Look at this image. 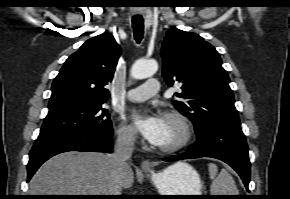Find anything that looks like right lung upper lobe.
Returning <instances> with one entry per match:
<instances>
[{
  "label": "right lung upper lobe",
  "instance_id": "cb5924a9",
  "mask_svg": "<svg viewBox=\"0 0 290 199\" xmlns=\"http://www.w3.org/2000/svg\"><path fill=\"white\" fill-rule=\"evenodd\" d=\"M120 47L111 34L87 40L64 63L52 84L49 112L70 106L105 103L120 56Z\"/></svg>",
  "mask_w": 290,
  "mask_h": 199
}]
</instances>
